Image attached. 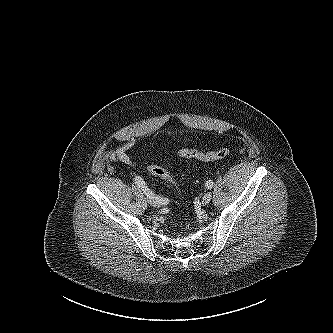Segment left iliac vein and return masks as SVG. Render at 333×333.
I'll return each instance as SVG.
<instances>
[{"label":"left iliac vein","instance_id":"obj_1","mask_svg":"<svg viewBox=\"0 0 333 333\" xmlns=\"http://www.w3.org/2000/svg\"><path fill=\"white\" fill-rule=\"evenodd\" d=\"M211 198L212 194L210 192L205 193L201 201L202 205L203 206L207 205L211 201Z\"/></svg>","mask_w":333,"mask_h":333}]
</instances>
